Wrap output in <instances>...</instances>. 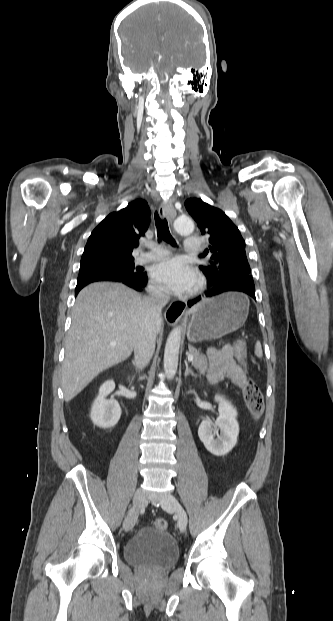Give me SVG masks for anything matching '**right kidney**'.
<instances>
[{
	"label": "right kidney",
	"instance_id": "obj_1",
	"mask_svg": "<svg viewBox=\"0 0 333 621\" xmlns=\"http://www.w3.org/2000/svg\"><path fill=\"white\" fill-rule=\"evenodd\" d=\"M115 383L106 381L99 389V394L94 400L91 408L90 417L94 425L108 429L115 426L121 416V408L115 399H106L114 390Z\"/></svg>",
	"mask_w": 333,
	"mask_h": 621
}]
</instances>
